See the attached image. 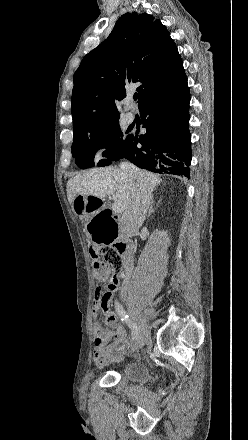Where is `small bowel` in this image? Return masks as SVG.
Here are the masks:
<instances>
[{"label":"small bowel","mask_w":248,"mask_h":440,"mask_svg":"<svg viewBox=\"0 0 248 440\" xmlns=\"http://www.w3.org/2000/svg\"><path fill=\"white\" fill-rule=\"evenodd\" d=\"M122 270V267H115V271H113L112 273L113 277L109 280L107 290H103L99 287V289L103 293H107L110 296L107 304L104 305L99 299H97L95 293V301L92 306V314L94 317H96L98 312L102 311L105 315L107 324L112 328L105 329L99 324V322H93V356L95 362L99 366H104L112 361L114 359L113 351L126 342L125 328L118 322L115 313L110 308L113 293L115 292L119 284L118 272H122ZM112 339H114V341L110 343Z\"/></svg>","instance_id":"c3829d8e"}]
</instances>
